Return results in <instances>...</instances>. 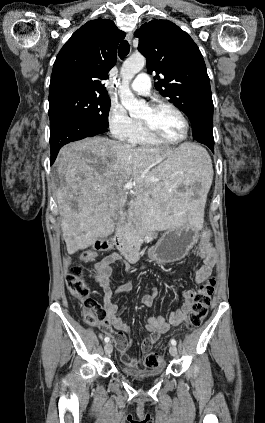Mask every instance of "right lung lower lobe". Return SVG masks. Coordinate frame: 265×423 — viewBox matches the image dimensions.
Listing matches in <instances>:
<instances>
[{
  "label": "right lung lower lobe",
  "mask_w": 265,
  "mask_h": 423,
  "mask_svg": "<svg viewBox=\"0 0 265 423\" xmlns=\"http://www.w3.org/2000/svg\"><path fill=\"white\" fill-rule=\"evenodd\" d=\"M107 129L74 115H59L50 120L51 164L60 148L72 141L92 137Z\"/></svg>",
  "instance_id": "obj_1"
}]
</instances>
